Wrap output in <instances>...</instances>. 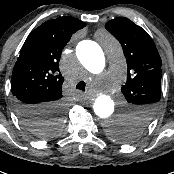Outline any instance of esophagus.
<instances>
[{
    "mask_svg": "<svg viewBox=\"0 0 174 174\" xmlns=\"http://www.w3.org/2000/svg\"><path fill=\"white\" fill-rule=\"evenodd\" d=\"M91 98H93V96H87L85 99L90 100Z\"/></svg>",
    "mask_w": 174,
    "mask_h": 174,
    "instance_id": "1",
    "label": "esophagus"
}]
</instances>
